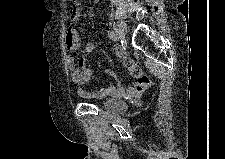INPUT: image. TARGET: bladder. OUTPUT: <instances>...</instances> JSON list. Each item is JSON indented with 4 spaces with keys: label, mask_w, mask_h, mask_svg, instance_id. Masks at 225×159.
I'll return each mask as SVG.
<instances>
[{
    "label": "bladder",
    "mask_w": 225,
    "mask_h": 159,
    "mask_svg": "<svg viewBox=\"0 0 225 159\" xmlns=\"http://www.w3.org/2000/svg\"><path fill=\"white\" fill-rule=\"evenodd\" d=\"M97 102L106 110L113 113H121L126 108V104L121 98H101Z\"/></svg>",
    "instance_id": "31cf9c89"
}]
</instances>
